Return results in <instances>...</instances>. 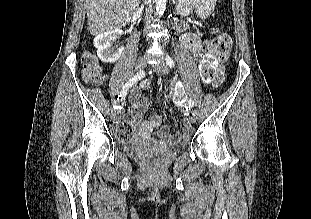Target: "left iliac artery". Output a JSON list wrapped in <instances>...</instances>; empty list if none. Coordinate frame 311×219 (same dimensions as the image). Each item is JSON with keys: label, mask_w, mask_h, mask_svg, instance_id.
<instances>
[{"label": "left iliac artery", "mask_w": 311, "mask_h": 219, "mask_svg": "<svg viewBox=\"0 0 311 219\" xmlns=\"http://www.w3.org/2000/svg\"><path fill=\"white\" fill-rule=\"evenodd\" d=\"M166 63H167V65H168L170 68H172V67L174 66V61H173V59H172L169 55L166 56ZM188 106H189V108H191V109L194 107V102H193L192 99H189V101H188Z\"/></svg>", "instance_id": "obj_1"}]
</instances>
